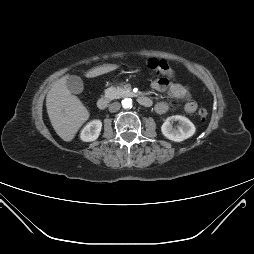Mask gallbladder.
<instances>
[{
	"mask_svg": "<svg viewBox=\"0 0 254 254\" xmlns=\"http://www.w3.org/2000/svg\"><path fill=\"white\" fill-rule=\"evenodd\" d=\"M66 86L73 94H79L83 91V81L80 77L71 75L67 77Z\"/></svg>",
	"mask_w": 254,
	"mask_h": 254,
	"instance_id": "obj_1",
	"label": "gallbladder"
}]
</instances>
